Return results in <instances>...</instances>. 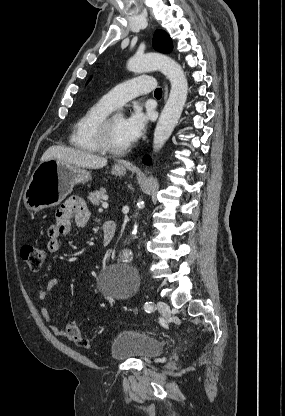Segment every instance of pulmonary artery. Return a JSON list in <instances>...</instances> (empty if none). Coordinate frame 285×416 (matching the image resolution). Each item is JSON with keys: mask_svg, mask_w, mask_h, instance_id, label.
Here are the masks:
<instances>
[{"mask_svg": "<svg viewBox=\"0 0 285 416\" xmlns=\"http://www.w3.org/2000/svg\"><path fill=\"white\" fill-rule=\"evenodd\" d=\"M154 85V78L149 75H141L122 82L116 87H111V90L102 97V100L111 108H115L121 102H133L135 96L150 92Z\"/></svg>", "mask_w": 285, "mask_h": 416, "instance_id": "obj_1", "label": "pulmonary artery"}]
</instances>
